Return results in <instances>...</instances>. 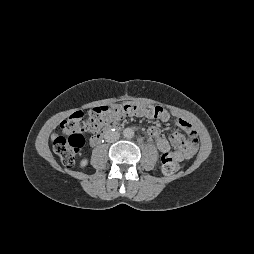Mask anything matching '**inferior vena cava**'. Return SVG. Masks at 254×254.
I'll use <instances>...</instances> for the list:
<instances>
[{
    "instance_id": "602c4592",
    "label": "inferior vena cava",
    "mask_w": 254,
    "mask_h": 254,
    "mask_svg": "<svg viewBox=\"0 0 254 254\" xmlns=\"http://www.w3.org/2000/svg\"><path fill=\"white\" fill-rule=\"evenodd\" d=\"M120 134L117 131H112V130H108L105 135L104 138L107 142L109 143H114L117 140H119Z\"/></svg>"
}]
</instances>
